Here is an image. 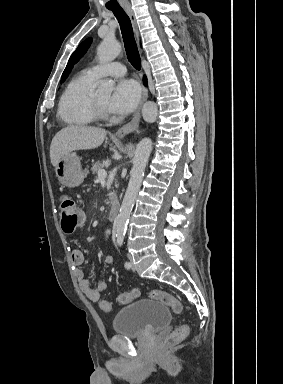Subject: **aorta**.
<instances>
[{
	"mask_svg": "<svg viewBox=\"0 0 283 384\" xmlns=\"http://www.w3.org/2000/svg\"><path fill=\"white\" fill-rule=\"evenodd\" d=\"M121 52V45L118 41L111 38H105L97 49V56L101 63L110 62ZM114 87L112 81H103L97 92L102 95H109ZM158 115V109L154 102L148 101L142 108L143 119L148 123H153ZM152 140L143 138L137 145L133 159V167L130 172V180L122 201V205L117 217L116 235L123 237L125 235L129 216L134 205L136 196L139 192L144 171L152 151Z\"/></svg>",
	"mask_w": 283,
	"mask_h": 384,
	"instance_id": "1",
	"label": "aorta"
}]
</instances>
